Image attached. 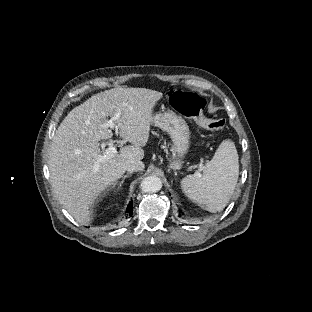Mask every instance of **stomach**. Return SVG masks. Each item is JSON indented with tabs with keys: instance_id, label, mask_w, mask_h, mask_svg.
Returning <instances> with one entry per match:
<instances>
[{
	"instance_id": "0dacf381",
	"label": "stomach",
	"mask_w": 312,
	"mask_h": 312,
	"mask_svg": "<svg viewBox=\"0 0 312 312\" xmlns=\"http://www.w3.org/2000/svg\"><path fill=\"white\" fill-rule=\"evenodd\" d=\"M154 124L161 127L171 137L170 150L172 155L167 168L178 171L184 167L185 158L189 152L191 132L184 118L173 111L159 113L154 118Z\"/></svg>"
}]
</instances>
